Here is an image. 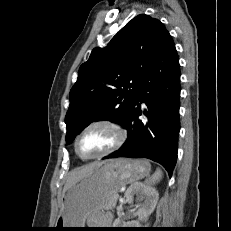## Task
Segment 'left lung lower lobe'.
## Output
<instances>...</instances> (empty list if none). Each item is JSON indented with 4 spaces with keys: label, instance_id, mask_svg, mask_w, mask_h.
Instances as JSON below:
<instances>
[{
    "label": "left lung lower lobe",
    "instance_id": "1",
    "mask_svg": "<svg viewBox=\"0 0 231 231\" xmlns=\"http://www.w3.org/2000/svg\"><path fill=\"white\" fill-rule=\"evenodd\" d=\"M141 89L123 126L128 130L124 145L108 158H148L160 163L170 177L178 150L180 66L175 44L168 34L141 79ZM144 102L147 108L141 110ZM147 118L142 122L139 116Z\"/></svg>",
    "mask_w": 231,
    "mask_h": 231
}]
</instances>
